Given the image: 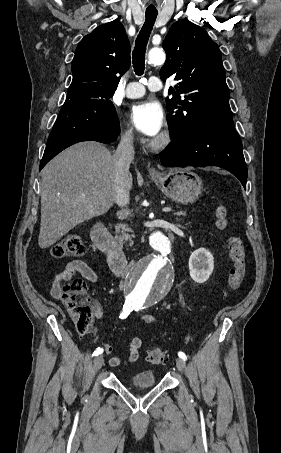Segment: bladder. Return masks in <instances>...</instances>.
Masks as SVG:
<instances>
[{"mask_svg":"<svg viewBox=\"0 0 281 453\" xmlns=\"http://www.w3.org/2000/svg\"><path fill=\"white\" fill-rule=\"evenodd\" d=\"M155 382V376L151 371L136 373L130 378V383L136 387H150L153 386Z\"/></svg>","mask_w":281,"mask_h":453,"instance_id":"1","label":"bladder"}]
</instances>
